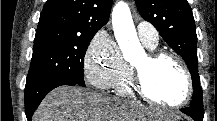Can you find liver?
I'll return each instance as SVG.
<instances>
[{
    "instance_id": "1",
    "label": "liver",
    "mask_w": 217,
    "mask_h": 121,
    "mask_svg": "<svg viewBox=\"0 0 217 121\" xmlns=\"http://www.w3.org/2000/svg\"><path fill=\"white\" fill-rule=\"evenodd\" d=\"M152 117V113L138 104L80 87L60 86L43 99L32 120L146 121Z\"/></svg>"
}]
</instances>
